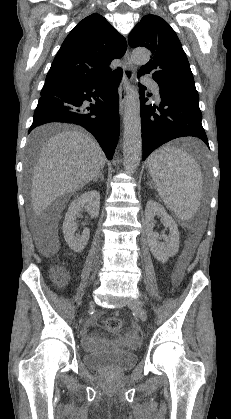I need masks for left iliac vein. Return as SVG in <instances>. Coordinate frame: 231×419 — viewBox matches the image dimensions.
<instances>
[{"label": "left iliac vein", "instance_id": "1", "mask_svg": "<svg viewBox=\"0 0 231 419\" xmlns=\"http://www.w3.org/2000/svg\"><path fill=\"white\" fill-rule=\"evenodd\" d=\"M128 307L133 310L136 314H138L139 318L142 321L147 320V313L143 307V302L140 298H136L135 300L131 301L128 304Z\"/></svg>", "mask_w": 231, "mask_h": 419}]
</instances>
